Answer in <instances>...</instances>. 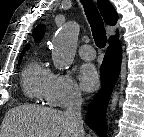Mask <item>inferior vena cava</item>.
Instances as JSON below:
<instances>
[{
  "instance_id": "inferior-vena-cava-1",
  "label": "inferior vena cava",
  "mask_w": 144,
  "mask_h": 137,
  "mask_svg": "<svg viewBox=\"0 0 144 137\" xmlns=\"http://www.w3.org/2000/svg\"><path fill=\"white\" fill-rule=\"evenodd\" d=\"M82 97L79 92L70 94L66 112L71 119L72 126L76 130V137H84L83 120L81 116Z\"/></svg>"
}]
</instances>
